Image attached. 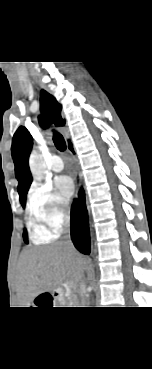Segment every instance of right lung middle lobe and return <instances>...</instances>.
<instances>
[{
	"label": "right lung middle lobe",
	"instance_id": "right-lung-middle-lobe-1",
	"mask_svg": "<svg viewBox=\"0 0 152 369\" xmlns=\"http://www.w3.org/2000/svg\"><path fill=\"white\" fill-rule=\"evenodd\" d=\"M21 205L23 206V207H25V202H21ZM24 241L26 242V243H28V239H27V233H26V230H25V232H24Z\"/></svg>",
	"mask_w": 152,
	"mask_h": 369
}]
</instances>
